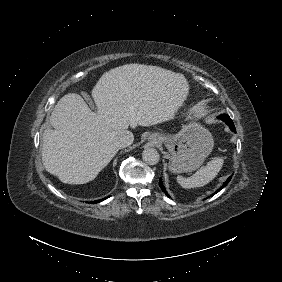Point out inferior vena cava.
<instances>
[{"instance_id": "602c4592", "label": "inferior vena cava", "mask_w": 282, "mask_h": 282, "mask_svg": "<svg viewBox=\"0 0 282 282\" xmlns=\"http://www.w3.org/2000/svg\"><path fill=\"white\" fill-rule=\"evenodd\" d=\"M134 140L132 132L125 130L113 138V143L117 148H125L132 144Z\"/></svg>"}]
</instances>
